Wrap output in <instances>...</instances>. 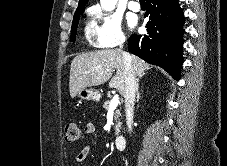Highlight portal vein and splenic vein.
Returning a JSON list of instances; mask_svg holds the SVG:
<instances>
[{"mask_svg": "<svg viewBox=\"0 0 227 166\" xmlns=\"http://www.w3.org/2000/svg\"><path fill=\"white\" fill-rule=\"evenodd\" d=\"M118 104H119V96L115 95L111 100V103L109 105V110H115Z\"/></svg>", "mask_w": 227, "mask_h": 166, "instance_id": "1", "label": "portal vein and splenic vein"}]
</instances>
